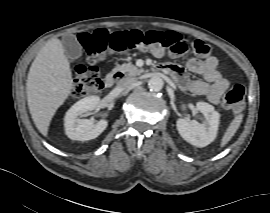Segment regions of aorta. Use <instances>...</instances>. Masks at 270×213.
<instances>
[{"label": "aorta", "instance_id": "aorta-1", "mask_svg": "<svg viewBox=\"0 0 270 213\" xmlns=\"http://www.w3.org/2000/svg\"><path fill=\"white\" fill-rule=\"evenodd\" d=\"M164 86V81L161 77L159 76H153L152 78H150V80L148 81V87L151 91L154 92H159L162 90Z\"/></svg>", "mask_w": 270, "mask_h": 213}]
</instances>
